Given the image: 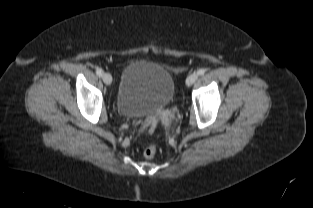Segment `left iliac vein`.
<instances>
[{
  "mask_svg": "<svg viewBox=\"0 0 313 208\" xmlns=\"http://www.w3.org/2000/svg\"><path fill=\"white\" fill-rule=\"evenodd\" d=\"M197 79H198V74H197V73H192V74H190V75L187 77V79H186V84H187V86H191L192 84H194Z\"/></svg>",
  "mask_w": 313,
  "mask_h": 208,
  "instance_id": "1",
  "label": "left iliac vein"
}]
</instances>
